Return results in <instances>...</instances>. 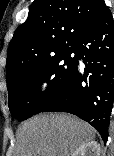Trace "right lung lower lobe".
Returning <instances> with one entry per match:
<instances>
[{
	"mask_svg": "<svg viewBox=\"0 0 114 156\" xmlns=\"http://www.w3.org/2000/svg\"><path fill=\"white\" fill-rule=\"evenodd\" d=\"M78 64L58 98L44 111L74 114L91 124L104 142L114 101V21L107 9L76 41Z\"/></svg>",
	"mask_w": 114,
	"mask_h": 156,
	"instance_id": "1",
	"label": "right lung lower lobe"
}]
</instances>
